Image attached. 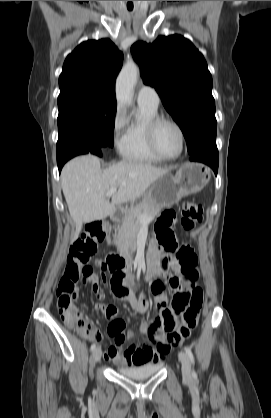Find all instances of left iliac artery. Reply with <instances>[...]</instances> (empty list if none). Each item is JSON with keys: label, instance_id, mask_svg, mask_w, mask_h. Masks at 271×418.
Listing matches in <instances>:
<instances>
[{"label": "left iliac artery", "instance_id": "obj_1", "mask_svg": "<svg viewBox=\"0 0 271 418\" xmlns=\"http://www.w3.org/2000/svg\"><path fill=\"white\" fill-rule=\"evenodd\" d=\"M185 351H186L191 363L194 364V356H193V353H192L191 349L188 348V347H185ZM192 376L196 377V372L194 370L192 372Z\"/></svg>", "mask_w": 271, "mask_h": 418}]
</instances>
